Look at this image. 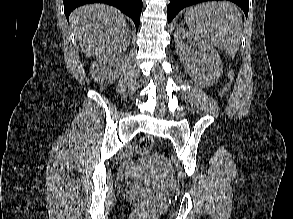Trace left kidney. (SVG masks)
Returning <instances> with one entry per match:
<instances>
[{
    "instance_id": "left-kidney-1",
    "label": "left kidney",
    "mask_w": 293,
    "mask_h": 219,
    "mask_svg": "<svg viewBox=\"0 0 293 219\" xmlns=\"http://www.w3.org/2000/svg\"><path fill=\"white\" fill-rule=\"evenodd\" d=\"M185 39L193 40L198 45V51L189 46ZM175 46L180 60L191 71L190 75L197 84L208 88L218 82L223 65L212 45L179 27L175 31Z\"/></svg>"
}]
</instances>
